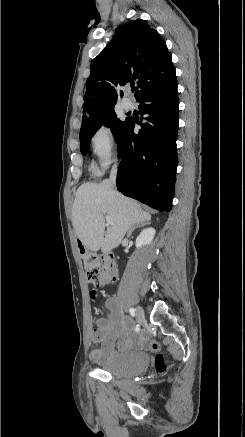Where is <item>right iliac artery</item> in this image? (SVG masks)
Here are the masks:
<instances>
[{"label": "right iliac artery", "mask_w": 245, "mask_h": 437, "mask_svg": "<svg viewBox=\"0 0 245 437\" xmlns=\"http://www.w3.org/2000/svg\"><path fill=\"white\" fill-rule=\"evenodd\" d=\"M129 312H130L131 316H133V317L135 316V309L134 308H130Z\"/></svg>", "instance_id": "obj_1"}]
</instances>
